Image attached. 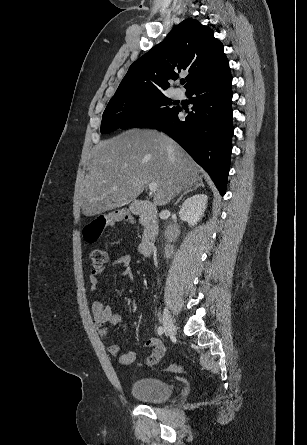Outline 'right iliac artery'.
Listing matches in <instances>:
<instances>
[{
  "label": "right iliac artery",
  "mask_w": 307,
  "mask_h": 445,
  "mask_svg": "<svg viewBox=\"0 0 307 445\" xmlns=\"http://www.w3.org/2000/svg\"><path fill=\"white\" fill-rule=\"evenodd\" d=\"M157 332H158L159 335L163 334L164 328L162 326H159L158 329H157Z\"/></svg>",
  "instance_id": "right-iliac-artery-1"
}]
</instances>
